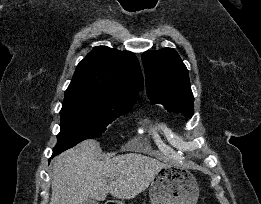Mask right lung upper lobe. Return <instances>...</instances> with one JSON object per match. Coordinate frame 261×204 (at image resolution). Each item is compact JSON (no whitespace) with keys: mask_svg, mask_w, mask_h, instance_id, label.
Segmentation results:
<instances>
[{"mask_svg":"<svg viewBox=\"0 0 261 204\" xmlns=\"http://www.w3.org/2000/svg\"><path fill=\"white\" fill-rule=\"evenodd\" d=\"M142 89L139 61L132 52L97 46L77 65L65 97L88 95L102 103H132Z\"/></svg>","mask_w":261,"mask_h":204,"instance_id":"cb5924a9","label":"right lung upper lobe"}]
</instances>
